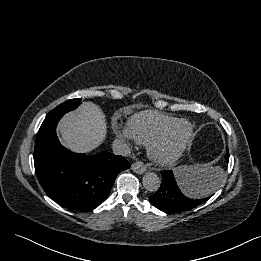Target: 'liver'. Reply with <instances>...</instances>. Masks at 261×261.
Returning a JSON list of instances; mask_svg holds the SVG:
<instances>
[{"mask_svg":"<svg viewBox=\"0 0 261 261\" xmlns=\"http://www.w3.org/2000/svg\"><path fill=\"white\" fill-rule=\"evenodd\" d=\"M62 144L76 153H87L101 145L107 126L101 108L84 102L77 110L67 113L58 125Z\"/></svg>","mask_w":261,"mask_h":261,"instance_id":"6515ba94","label":"liver"}]
</instances>
